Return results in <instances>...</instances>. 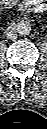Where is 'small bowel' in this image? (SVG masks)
I'll list each match as a JSON object with an SVG mask.
<instances>
[{"instance_id": "1", "label": "small bowel", "mask_w": 47, "mask_h": 129, "mask_svg": "<svg viewBox=\"0 0 47 129\" xmlns=\"http://www.w3.org/2000/svg\"><path fill=\"white\" fill-rule=\"evenodd\" d=\"M16 0H2L4 6H9L15 3ZM23 5L29 6L34 12L40 13L46 10L47 4L44 0H24Z\"/></svg>"}]
</instances>
